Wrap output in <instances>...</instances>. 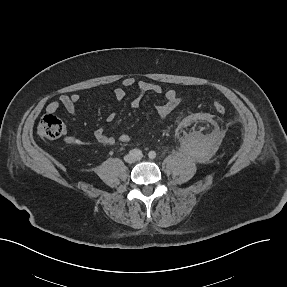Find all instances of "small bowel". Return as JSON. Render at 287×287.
<instances>
[{
    "label": "small bowel",
    "mask_w": 287,
    "mask_h": 287,
    "mask_svg": "<svg viewBox=\"0 0 287 287\" xmlns=\"http://www.w3.org/2000/svg\"><path fill=\"white\" fill-rule=\"evenodd\" d=\"M122 84L125 88H136L137 95L131 103L134 108H137L140 105L142 96L146 93L164 94L165 101L155 107V112L158 119L167 118L180 103V98L174 89L162 86L160 84L151 83L143 80L137 81L133 77H125L122 81ZM125 96L126 93L123 88L118 87L114 90V97L116 98V100L121 101L125 98ZM80 99L81 97L79 94L61 95L58 100L51 101L46 106V111L48 113H55L59 110V108L62 107L70 115L76 116V105L80 101ZM113 119L114 116L110 115L109 120ZM93 137L98 143L103 145H111L115 142V138L107 134L103 129L95 130L93 133ZM118 140L122 143H129L131 141V136L126 133H123L118 137ZM65 142L69 145L81 144V140L78 137L70 134L65 137Z\"/></svg>",
    "instance_id": "small-bowel-1"
}]
</instances>
